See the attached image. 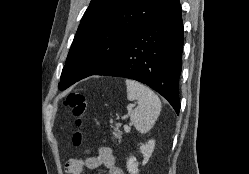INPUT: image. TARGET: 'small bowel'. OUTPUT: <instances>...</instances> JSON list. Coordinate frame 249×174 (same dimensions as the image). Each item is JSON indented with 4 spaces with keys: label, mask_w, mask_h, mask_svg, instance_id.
<instances>
[{
    "label": "small bowel",
    "mask_w": 249,
    "mask_h": 174,
    "mask_svg": "<svg viewBox=\"0 0 249 174\" xmlns=\"http://www.w3.org/2000/svg\"><path fill=\"white\" fill-rule=\"evenodd\" d=\"M100 166L107 168V174H124L123 170L115 164L114 154L109 147H100L95 156L84 159L72 158L66 162L67 174H82L84 170H94Z\"/></svg>",
    "instance_id": "small-bowel-1"
}]
</instances>
